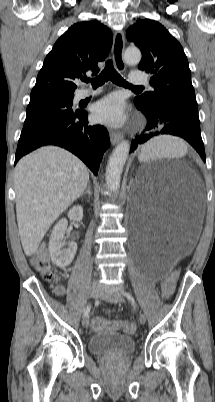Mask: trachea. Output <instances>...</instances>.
Listing matches in <instances>:
<instances>
[{
    "label": "trachea",
    "instance_id": "1",
    "mask_svg": "<svg viewBox=\"0 0 215 402\" xmlns=\"http://www.w3.org/2000/svg\"><path fill=\"white\" fill-rule=\"evenodd\" d=\"M108 80H111L113 83H115L119 86H123V87L134 88V89L142 88V86H133V85L129 84L126 80H124L120 76V74L114 69L112 60L107 61L106 66L103 69V71L94 79L90 80L87 77L82 78V81H84V82L90 81L94 88L103 85Z\"/></svg>",
    "mask_w": 215,
    "mask_h": 402
}]
</instances>
